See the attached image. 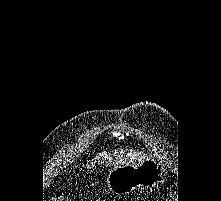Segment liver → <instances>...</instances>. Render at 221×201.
<instances>
[{"label": "liver", "instance_id": "liver-1", "mask_svg": "<svg viewBox=\"0 0 221 201\" xmlns=\"http://www.w3.org/2000/svg\"><path fill=\"white\" fill-rule=\"evenodd\" d=\"M144 159H146V156L143 153L129 152V151H124L123 149L114 150L112 152H103L95 158V160L100 161L101 163L107 166L121 165V164L134 162L136 160L139 161ZM93 161L94 160L87 163V167L92 166Z\"/></svg>", "mask_w": 221, "mask_h": 201}]
</instances>
